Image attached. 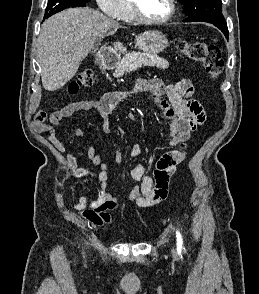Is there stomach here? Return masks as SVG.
<instances>
[{
    "label": "stomach",
    "mask_w": 259,
    "mask_h": 294,
    "mask_svg": "<svg viewBox=\"0 0 259 294\" xmlns=\"http://www.w3.org/2000/svg\"><path fill=\"white\" fill-rule=\"evenodd\" d=\"M167 37L157 30L145 31L135 39V46L148 54H157L168 47Z\"/></svg>",
    "instance_id": "stomach-1"
}]
</instances>
